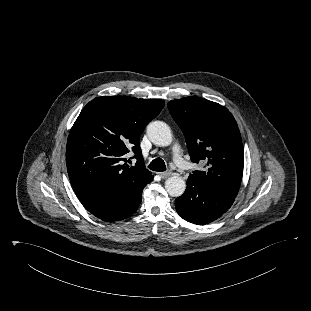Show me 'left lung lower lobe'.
I'll list each match as a JSON object with an SVG mask.
<instances>
[{
  "label": "left lung lower lobe",
  "mask_w": 311,
  "mask_h": 311,
  "mask_svg": "<svg viewBox=\"0 0 311 311\" xmlns=\"http://www.w3.org/2000/svg\"><path fill=\"white\" fill-rule=\"evenodd\" d=\"M234 199L190 175L186 191L176 198L175 207L180 217L186 221L204 225L221 217L231 207Z\"/></svg>",
  "instance_id": "1"
}]
</instances>
